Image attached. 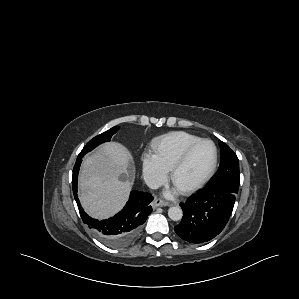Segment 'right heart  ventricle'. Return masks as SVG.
<instances>
[{"instance_id":"right-heart-ventricle-1","label":"right heart ventricle","mask_w":299,"mask_h":299,"mask_svg":"<svg viewBox=\"0 0 299 299\" xmlns=\"http://www.w3.org/2000/svg\"><path fill=\"white\" fill-rule=\"evenodd\" d=\"M199 140L200 137L186 132H171L155 138L151 147L158 162L170 171L183 152Z\"/></svg>"}]
</instances>
